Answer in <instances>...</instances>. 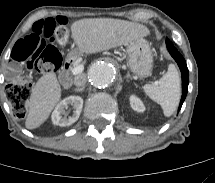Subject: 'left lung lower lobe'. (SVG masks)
I'll return each instance as SVG.
<instances>
[{
	"label": "left lung lower lobe",
	"mask_w": 215,
	"mask_h": 183,
	"mask_svg": "<svg viewBox=\"0 0 215 183\" xmlns=\"http://www.w3.org/2000/svg\"><path fill=\"white\" fill-rule=\"evenodd\" d=\"M166 45L168 48V51L170 52L171 56L175 59L177 62L181 75H182V97L180 101V105L178 108V111L181 109L182 104L186 98L187 92H188V84H189V74H188V68L186 65V62L182 55L177 51V49L173 46L171 41L167 38L166 39Z\"/></svg>",
	"instance_id": "obj_1"
}]
</instances>
